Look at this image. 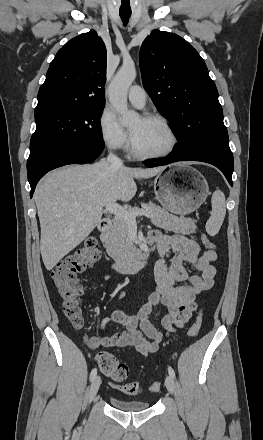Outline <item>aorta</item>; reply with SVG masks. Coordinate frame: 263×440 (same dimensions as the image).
Here are the masks:
<instances>
[{
  "label": "aorta",
  "mask_w": 263,
  "mask_h": 440,
  "mask_svg": "<svg viewBox=\"0 0 263 440\" xmlns=\"http://www.w3.org/2000/svg\"><path fill=\"white\" fill-rule=\"evenodd\" d=\"M136 78L133 63H124L109 85V100L120 115V123L127 125L138 119V114L127 105L128 89Z\"/></svg>",
  "instance_id": "aorta-1"
}]
</instances>
